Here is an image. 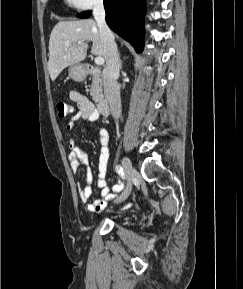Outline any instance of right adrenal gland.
Returning a JSON list of instances; mask_svg holds the SVG:
<instances>
[{"mask_svg":"<svg viewBox=\"0 0 243 289\" xmlns=\"http://www.w3.org/2000/svg\"><path fill=\"white\" fill-rule=\"evenodd\" d=\"M118 57H119L120 66L122 67V61H121V59H120L119 54H118Z\"/></svg>","mask_w":243,"mask_h":289,"instance_id":"obj_1","label":"right adrenal gland"}]
</instances>
